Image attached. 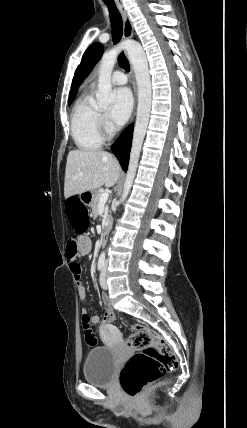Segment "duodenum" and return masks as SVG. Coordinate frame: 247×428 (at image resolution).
I'll return each instance as SVG.
<instances>
[{"mask_svg": "<svg viewBox=\"0 0 247 428\" xmlns=\"http://www.w3.org/2000/svg\"><path fill=\"white\" fill-rule=\"evenodd\" d=\"M109 229H110V224H109V222H106L103 225V230H102V235H101L102 243L105 242L107 235H108V232H109Z\"/></svg>", "mask_w": 247, "mask_h": 428, "instance_id": "obj_1", "label": "duodenum"}]
</instances>
